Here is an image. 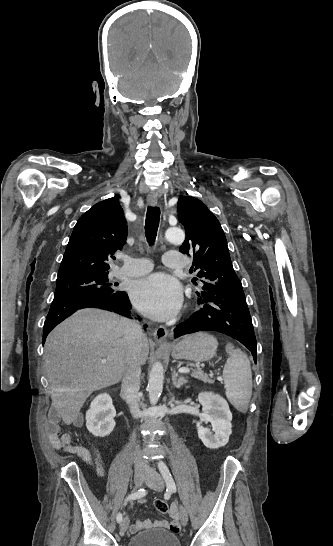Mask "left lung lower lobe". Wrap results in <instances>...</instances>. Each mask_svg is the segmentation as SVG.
I'll return each mask as SVG.
<instances>
[{"instance_id":"left-lung-lower-lobe-1","label":"left lung lower lobe","mask_w":333,"mask_h":546,"mask_svg":"<svg viewBox=\"0 0 333 546\" xmlns=\"http://www.w3.org/2000/svg\"><path fill=\"white\" fill-rule=\"evenodd\" d=\"M197 296L200 308L175 328L174 337L199 331L221 332L245 345L256 363L257 342L245 296L221 298L199 293Z\"/></svg>"}]
</instances>
